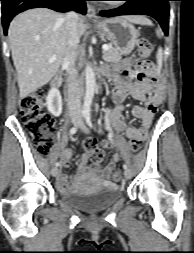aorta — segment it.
Masks as SVG:
<instances>
[{
    "label": "aorta",
    "instance_id": "aorta-1",
    "mask_svg": "<svg viewBox=\"0 0 194 253\" xmlns=\"http://www.w3.org/2000/svg\"><path fill=\"white\" fill-rule=\"evenodd\" d=\"M86 91L83 104V113H89L96 88L95 74L92 67L87 64L85 68Z\"/></svg>",
    "mask_w": 194,
    "mask_h": 253
}]
</instances>
